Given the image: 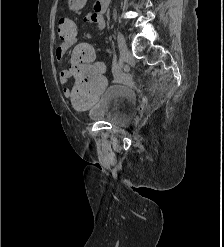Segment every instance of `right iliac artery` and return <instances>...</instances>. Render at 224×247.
<instances>
[{
	"mask_svg": "<svg viewBox=\"0 0 224 247\" xmlns=\"http://www.w3.org/2000/svg\"><path fill=\"white\" fill-rule=\"evenodd\" d=\"M122 67H123V62H122V60L120 58L119 61H118V63H117V65L115 66L114 73L116 75H118L120 73Z\"/></svg>",
	"mask_w": 224,
	"mask_h": 247,
	"instance_id": "1",
	"label": "right iliac artery"
}]
</instances>
